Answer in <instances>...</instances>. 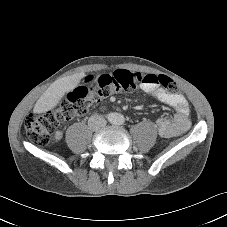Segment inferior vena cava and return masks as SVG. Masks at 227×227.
<instances>
[{"instance_id":"inferior-vena-cava-1","label":"inferior vena cava","mask_w":227,"mask_h":227,"mask_svg":"<svg viewBox=\"0 0 227 227\" xmlns=\"http://www.w3.org/2000/svg\"><path fill=\"white\" fill-rule=\"evenodd\" d=\"M106 120L100 115H93L88 120V125L93 130H98L106 125Z\"/></svg>"}]
</instances>
